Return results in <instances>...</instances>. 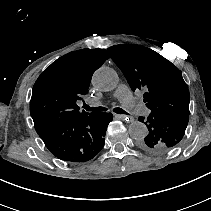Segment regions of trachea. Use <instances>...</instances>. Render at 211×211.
I'll use <instances>...</instances> for the list:
<instances>
[{
    "label": "trachea",
    "mask_w": 211,
    "mask_h": 211,
    "mask_svg": "<svg viewBox=\"0 0 211 211\" xmlns=\"http://www.w3.org/2000/svg\"><path fill=\"white\" fill-rule=\"evenodd\" d=\"M83 107H84L87 111H93V112H102V111L108 110V108H106V107H104V106L90 107V106L84 104ZM113 111H114L115 113H118V114H128L126 111H124L122 108H119V107H115V108L113 109Z\"/></svg>",
    "instance_id": "1"
}]
</instances>
